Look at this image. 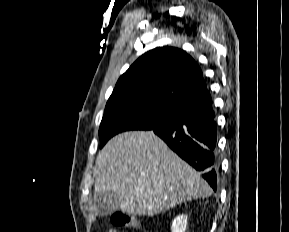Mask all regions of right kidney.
<instances>
[{
  "mask_svg": "<svg viewBox=\"0 0 289 232\" xmlns=\"http://www.w3.org/2000/svg\"><path fill=\"white\" fill-rule=\"evenodd\" d=\"M187 227V215H179L177 216L171 226L172 232H185Z\"/></svg>",
  "mask_w": 289,
  "mask_h": 232,
  "instance_id": "obj_1",
  "label": "right kidney"
}]
</instances>
